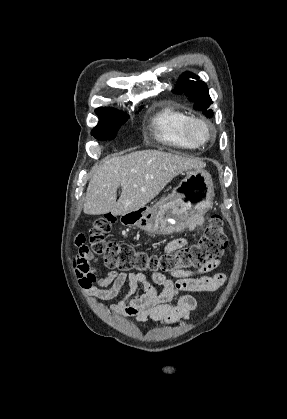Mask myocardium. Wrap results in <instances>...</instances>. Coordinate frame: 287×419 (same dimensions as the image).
<instances>
[{
    "label": "myocardium",
    "instance_id": "myocardium-1",
    "mask_svg": "<svg viewBox=\"0 0 287 419\" xmlns=\"http://www.w3.org/2000/svg\"><path fill=\"white\" fill-rule=\"evenodd\" d=\"M194 125H201L205 129V131L207 133L206 138H204L202 140H198V139H195L192 136L191 130H192V127ZM183 132H184V135H185L186 139L190 143H192L194 146H197V147L207 144L213 138L212 127L210 126V124L206 120H204L200 117L188 116V118L185 120L184 125H183Z\"/></svg>",
    "mask_w": 287,
    "mask_h": 419
}]
</instances>
